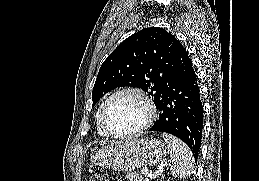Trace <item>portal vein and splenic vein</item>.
Segmentation results:
<instances>
[{
  "mask_svg": "<svg viewBox=\"0 0 259 181\" xmlns=\"http://www.w3.org/2000/svg\"><path fill=\"white\" fill-rule=\"evenodd\" d=\"M142 174L146 177H152V174H149L148 169L146 168L142 170Z\"/></svg>",
  "mask_w": 259,
  "mask_h": 181,
  "instance_id": "18ae733b",
  "label": "portal vein and splenic vein"
}]
</instances>
